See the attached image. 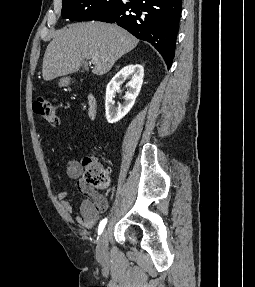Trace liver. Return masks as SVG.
I'll return each mask as SVG.
<instances>
[{
  "label": "liver",
  "mask_w": 255,
  "mask_h": 287,
  "mask_svg": "<svg viewBox=\"0 0 255 287\" xmlns=\"http://www.w3.org/2000/svg\"><path fill=\"white\" fill-rule=\"evenodd\" d=\"M139 40L129 32L104 22L70 24L59 30L48 44L43 58V80H54L78 72L84 60L98 58L92 72L103 76L115 62L134 50Z\"/></svg>",
  "instance_id": "obj_1"
}]
</instances>
